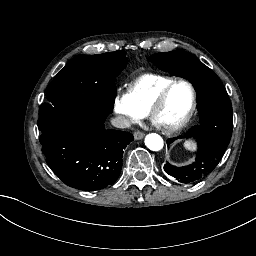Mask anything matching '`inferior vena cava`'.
<instances>
[{
	"mask_svg": "<svg viewBox=\"0 0 256 256\" xmlns=\"http://www.w3.org/2000/svg\"><path fill=\"white\" fill-rule=\"evenodd\" d=\"M111 124L116 128H128L131 126L129 119L124 115H118L111 119Z\"/></svg>",
	"mask_w": 256,
	"mask_h": 256,
	"instance_id": "602c4592",
	"label": "inferior vena cava"
}]
</instances>
